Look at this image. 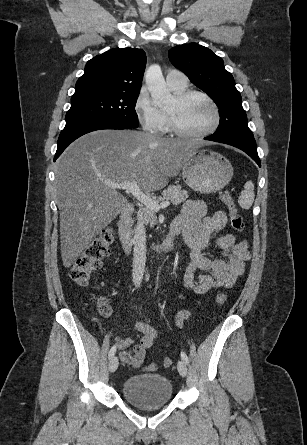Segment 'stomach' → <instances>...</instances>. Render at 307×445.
Listing matches in <instances>:
<instances>
[{"label": "stomach", "instance_id": "1", "mask_svg": "<svg viewBox=\"0 0 307 445\" xmlns=\"http://www.w3.org/2000/svg\"><path fill=\"white\" fill-rule=\"evenodd\" d=\"M233 176V166L223 154L196 148L183 164L182 178L190 188L211 194L222 190Z\"/></svg>", "mask_w": 307, "mask_h": 445}]
</instances>
